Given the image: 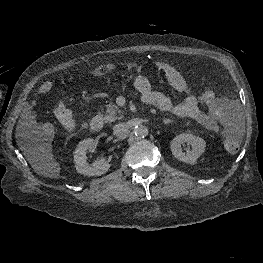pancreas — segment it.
<instances>
[{"mask_svg":"<svg viewBox=\"0 0 263 263\" xmlns=\"http://www.w3.org/2000/svg\"><path fill=\"white\" fill-rule=\"evenodd\" d=\"M123 115L121 110L113 103H109L106 107V115L104 116L105 122H114L117 119H122Z\"/></svg>","mask_w":263,"mask_h":263,"instance_id":"obj_1","label":"pancreas"}]
</instances>
